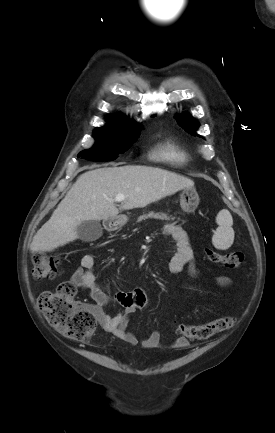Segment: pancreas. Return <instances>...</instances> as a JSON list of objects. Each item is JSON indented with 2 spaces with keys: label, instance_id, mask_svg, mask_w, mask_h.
Masks as SVG:
<instances>
[{
  "label": "pancreas",
  "instance_id": "pancreas-1",
  "mask_svg": "<svg viewBox=\"0 0 275 433\" xmlns=\"http://www.w3.org/2000/svg\"><path fill=\"white\" fill-rule=\"evenodd\" d=\"M148 218L159 219V220H162V221H174L176 219V217L168 216L165 213L149 212L148 214H144V215L140 216L137 219V222H141V221L146 220Z\"/></svg>",
  "mask_w": 275,
  "mask_h": 433
}]
</instances>
